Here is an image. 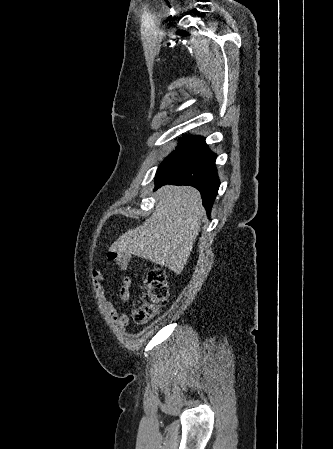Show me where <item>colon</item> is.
Masks as SVG:
<instances>
[{
	"label": "colon",
	"instance_id": "5ec220e1",
	"mask_svg": "<svg viewBox=\"0 0 333 449\" xmlns=\"http://www.w3.org/2000/svg\"><path fill=\"white\" fill-rule=\"evenodd\" d=\"M108 259L122 269L130 263V255L122 251H111ZM169 281L166 273L160 268L151 269L144 280L145 293L141 305L134 311V320L142 324L152 319L166 304Z\"/></svg>",
	"mask_w": 333,
	"mask_h": 449
}]
</instances>
